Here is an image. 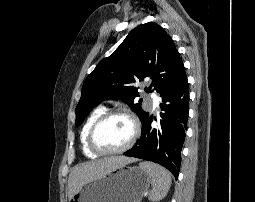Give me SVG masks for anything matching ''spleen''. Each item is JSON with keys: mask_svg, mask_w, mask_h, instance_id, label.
<instances>
[{"mask_svg": "<svg viewBox=\"0 0 255 202\" xmlns=\"http://www.w3.org/2000/svg\"><path fill=\"white\" fill-rule=\"evenodd\" d=\"M139 168L145 171L151 179L152 191L149 199L153 202L163 199L171 186V174L160 165L151 162H141Z\"/></svg>", "mask_w": 255, "mask_h": 202, "instance_id": "obj_1", "label": "spleen"}]
</instances>
